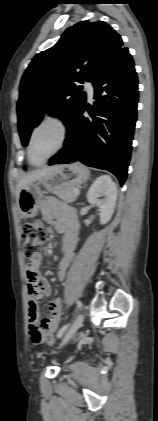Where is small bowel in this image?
<instances>
[{
	"label": "small bowel",
	"instance_id": "c3829d8e",
	"mask_svg": "<svg viewBox=\"0 0 158 421\" xmlns=\"http://www.w3.org/2000/svg\"><path fill=\"white\" fill-rule=\"evenodd\" d=\"M42 215L63 234V257L58 268L57 277L63 280L66 271L74 258V250L78 242L79 224L77 216L73 209L60 204L54 198H47L41 205ZM42 256L27 265V295H28V316L30 336L34 343L33 334L39 332L41 335H53L58 329L61 320V301L54 299L49 303V317L39 322L38 301L47 297L51 293V287L48 280L40 273V263Z\"/></svg>",
	"mask_w": 158,
	"mask_h": 421
}]
</instances>
